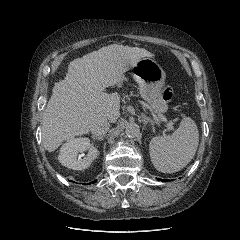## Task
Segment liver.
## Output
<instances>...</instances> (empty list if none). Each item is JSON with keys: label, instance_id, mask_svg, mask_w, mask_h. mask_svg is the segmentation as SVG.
Listing matches in <instances>:
<instances>
[{"label": "liver", "instance_id": "obj_1", "mask_svg": "<svg viewBox=\"0 0 240 240\" xmlns=\"http://www.w3.org/2000/svg\"><path fill=\"white\" fill-rule=\"evenodd\" d=\"M146 49L111 44L74 59L64 80L57 82L42 116V141L49 152L65 140L88 134L100 121L116 122L120 116L118 93L103 92L121 87L124 73L136 61L151 57Z\"/></svg>", "mask_w": 240, "mask_h": 240}]
</instances>
